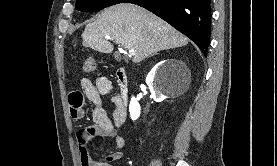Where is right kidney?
I'll use <instances>...</instances> for the list:
<instances>
[{"label":"right kidney","mask_w":277,"mask_h":166,"mask_svg":"<svg viewBox=\"0 0 277 166\" xmlns=\"http://www.w3.org/2000/svg\"><path fill=\"white\" fill-rule=\"evenodd\" d=\"M171 64L175 67H184L182 62L176 60H165L158 63L148 74L146 78V83L149 85L151 91V97L156 102L163 101L166 96L163 94V77H162V69L164 68L165 64ZM140 105L136 98L132 97L130 105H129V112L130 116L133 120L137 119L140 115Z\"/></svg>","instance_id":"right-kidney-1"}]
</instances>
